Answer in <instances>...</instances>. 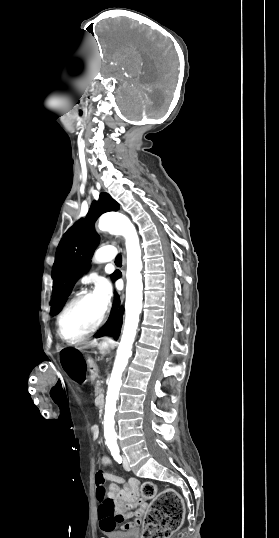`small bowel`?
Instances as JSON below:
<instances>
[{
    "label": "small bowel",
    "mask_w": 279,
    "mask_h": 538,
    "mask_svg": "<svg viewBox=\"0 0 279 538\" xmlns=\"http://www.w3.org/2000/svg\"><path fill=\"white\" fill-rule=\"evenodd\" d=\"M94 437L98 436V429L92 428ZM112 463V459L104 456L101 464L106 466ZM107 479L111 481L108 494L115 505V514L112 517L101 518L100 527L104 532L115 530L119 525L121 530H136L141 523V518L146 509V503L140 498V482L136 478L127 481L116 475L108 474ZM122 487H119V485ZM130 520V521H128Z\"/></svg>",
    "instance_id": "obj_1"
}]
</instances>
